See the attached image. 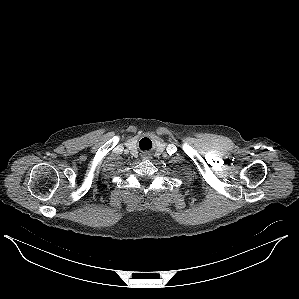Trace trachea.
<instances>
[{
  "label": "trachea",
  "mask_w": 299,
  "mask_h": 299,
  "mask_svg": "<svg viewBox=\"0 0 299 299\" xmlns=\"http://www.w3.org/2000/svg\"><path fill=\"white\" fill-rule=\"evenodd\" d=\"M147 140H149V139H148V138H143V139H141V141H140V146H143L144 143H145Z\"/></svg>",
  "instance_id": "trachea-1"
}]
</instances>
